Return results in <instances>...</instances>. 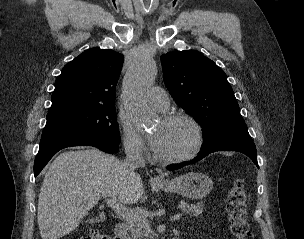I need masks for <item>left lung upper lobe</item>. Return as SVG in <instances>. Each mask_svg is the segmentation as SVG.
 <instances>
[{
  "label": "left lung upper lobe",
  "mask_w": 304,
  "mask_h": 239,
  "mask_svg": "<svg viewBox=\"0 0 304 239\" xmlns=\"http://www.w3.org/2000/svg\"><path fill=\"white\" fill-rule=\"evenodd\" d=\"M164 82L176 103L203 127L204 148L252 141L227 76L195 50L161 56Z\"/></svg>",
  "instance_id": "5c2ea615"
}]
</instances>
